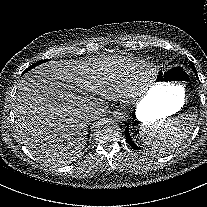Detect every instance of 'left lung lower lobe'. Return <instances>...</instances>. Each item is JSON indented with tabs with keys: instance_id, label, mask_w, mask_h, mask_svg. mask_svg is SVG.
Returning a JSON list of instances; mask_svg holds the SVG:
<instances>
[{
	"instance_id": "1",
	"label": "left lung lower lobe",
	"mask_w": 207,
	"mask_h": 207,
	"mask_svg": "<svg viewBox=\"0 0 207 207\" xmlns=\"http://www.w3.org/2000/svg\"><path fill=\"white\" fill-rule=\"evenodd\" d=\"M192 70L195 72V74L197 75L196 73V69L195 67L192 68ZM125 136H126V140H127V143L135 150H140V148L132 141L131 137H130V134H129V131H128V127L125 129Z\"/></svg>"
}]
</instances>
